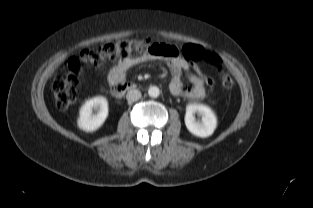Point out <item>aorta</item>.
<instances>
[{"label": "aorta", "instance_id": "762f6f07", "mask_svg": "<svg viewBox=\"0 0 313 208\" xmlns=\"http://www.w3.org/2000/svg\"><path fill=\"white\" fill-rule=\"evenodd\" d=\"M160 94V90L157 86H151L149 89H148V95L152 98H156L158 97Z\"/></svg>", "mask_w": 313, "mask_h": 208}]
</instances>
